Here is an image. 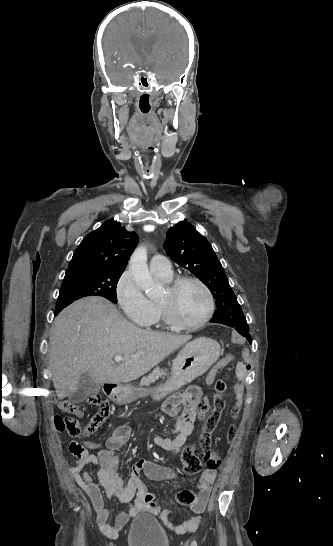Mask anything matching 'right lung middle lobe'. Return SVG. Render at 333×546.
<instances>
[{
    "mask_svg": "<svg viewBox=\"0 0 333 546\" xmlns=\"http://www.w3.org/2000/svg\"><path fill=\"white\" fill-rule=\"evenodd\" d=\"M124 270L98 269L87 273L66 274L57 299L56 310L86 296H102L117 303L116 286Z\"/></svg>",
    "mask_w": 333,
    "mask_h": 546,
    "instance_id": "right-lung-middle-lobe-1",
    "label": "right lung middle lobe"
}]
</instances>
